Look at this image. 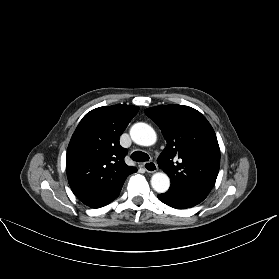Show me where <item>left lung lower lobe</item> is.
I'll return each mask as SVG.
<instances>
[{"instance_id": "left-lung-lower-lobe-1", "label": "left lung lower lobe", "mask_w": 279, "mask_h": 279, "mask_svg": "<svg viewBox=\"0 0 279 279\" xmlns=\"http://www.w3.org/2000/svg\"><path fill=\"white\" fill-rule=\"evenodd\" d=\"M158 199L176 209L190 208L204 200L200 197L173 189H169L166 193L158 195Z\"/></svg>"}]
</instances>
